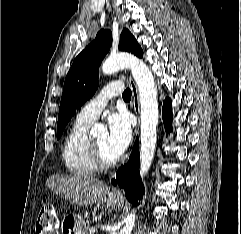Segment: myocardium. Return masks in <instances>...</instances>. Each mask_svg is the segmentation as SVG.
Wrapping results in <instances>:
<instances>
[{"mask_svg":"<svg viewBox=\"0 0 241 234\" xmlns=\"http://www.w3.org/2000/svg\"><path fill=\"white\" fill-rule=\"evenodd\" d=\"M90 146H91V157L95 165L100 169H109L116 165H118L122 161V155L119 154L116 158L112 160H108L105 158L101 147L94 140V138H90Z\"/></svg>","mask_w":241,"mask_h":234,"instance_id":"obj_1","label":"myocardium"}]
</instances>
